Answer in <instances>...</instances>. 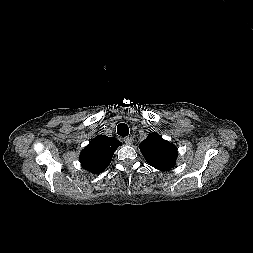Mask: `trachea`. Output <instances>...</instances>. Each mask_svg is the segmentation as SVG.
I'll use <instances>...</instances> for the list:
<instances>
[{"label":"trachea","mask_w":253,"mask_h":253,"mask_svg":"<svg viewBox=\"0 0 253 253\" xmlns=\"http://www.w3.org/2000/svg\"><path fill=\"white\" fill-rule=\"evenodd\" d=\"M117 133L118 135L125 137L129 134V128L125 123H120L117 126Z\"/></svg>","instance_id":"trachea-1"}]
</instances>
